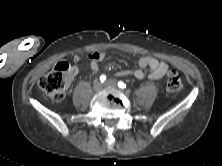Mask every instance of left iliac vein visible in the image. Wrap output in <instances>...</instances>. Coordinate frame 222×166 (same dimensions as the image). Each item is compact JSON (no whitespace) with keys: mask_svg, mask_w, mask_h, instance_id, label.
<instances>
[{"mask_svg":"<svg viewBox=\"0 0 222 166\" xmlns=\"http://www.w3.org/2000/svg\"><path fill=\"white\" fill-rule=\"evenodd\" d=\"M105 86L115 88L117 86V82L115 80H107L105 82Z\"/></svg>","mask_w":222,"mask_h":166,"instance_id":"4c4485c4","label":"left iliac vein"}]
</instances>
